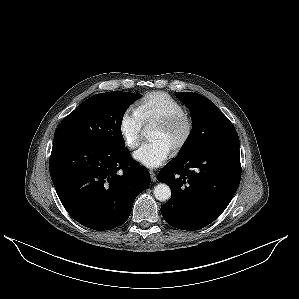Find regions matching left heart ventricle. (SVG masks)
<instances>
[{"label": "left heart ventricle", "instance_id": "b2bd125f", "mask_svg": "<svg viewBox=\"0 0 299 299\" xmlns=\"http://www.w3.org/2000/svg\"><path fill=\"white\" fill-rule=\"evenodd\" d=\"M183 133V126H180L174 130H165L155 126L151 133V139L164 141L172 150L174 145L181 139Z\"/></svg>", "mask_w": 299, "mask_h": 299}]
</instances>
